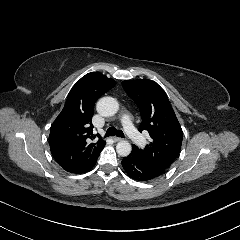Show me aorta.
Instances as JSON below:
<instances>
[{"label":"aorta","mask_w":240,"mask_h":240,"mask_svg":"<svg viewBox=\"0 0 240 240\" xmlns=\"http://www.w3.org/2000/svg\"><path fill=\"white\" fill-rule=\"evenodd\" d=\"M119 109L118 101L110 96L102 97L96 104L97 112L103 117H111L117 113ZM131 144L122 140L117 143L116 151L120 156H128L131 153Z\"/></svg>","instance_id":"762f6f07"}]
</instances>
